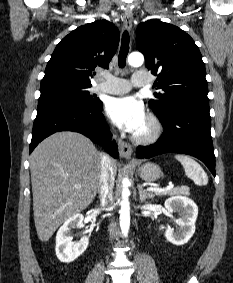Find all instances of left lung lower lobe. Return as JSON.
<instances>
[{"instance_id": "1", "label": "left lung lower lobe", "mask_w": 233, "mask_h": 283, "mask_svg": "<svg viewBox=\"0 0 233 283\" xmlns=\"http://www.w3.org/2000/svg\"><path fill=\"white\" fill-rule=\"evenodd\" d=\"M158 118L164 128L163 134L154 145L138 147L136 156L150 158L166 152L192 155L204 162L215 176L209 105L182 104Z\"/></svg>"}]
</instances>
